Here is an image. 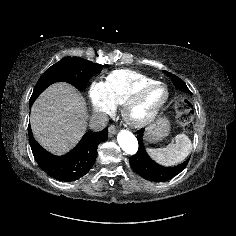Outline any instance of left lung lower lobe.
Here are the masks:
<instances>
[{"mask_svg": "<svg viewBox=\"0 0 236 236\" xmlns=\"http://www.w3.org/2000/svg\"><path fill=\"white\" fill-rule=\"evenodd\" d=\"M137 133L139 148L137 153L130 157L129 162L134 171L141 175L143 178L154 182L167 181L176 176L187 166L189 159L175 167H164L157 164L150 158L144 148V130H139L137 131Z\"/></svg>", "mask_w": 236, "mask_h": 236, "instance_id": "left-lung-lower-lobe-1", "label": "left lung lower lobe"}]
</instances>
